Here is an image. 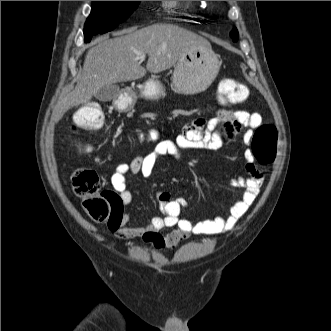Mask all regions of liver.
Returning a JSON list of instances; mask_svg holds the SVG:
<instances>
[{
  "mask_svg": "<svg viewBox=\"0 0 331 331\" xmlns=\"http://www.w3.org/2000/svg\"><path fill=\"white\" fill-rule=\"evenodd\" d=\"M200 44L209 42L172 24L132 29L99 42L88 50L75 88L54 108L52 121L57 123L70 108L89 102L105 85L137 80L147 71L160 73L170 69L185 52ZM142 54H148L146 68L140 64Z\"/></svg>",
  "mask_w": 331,
  "mask_h": 331,
  "instance_id": "obj_1",
  "label": "liver"
}]
</instances>
